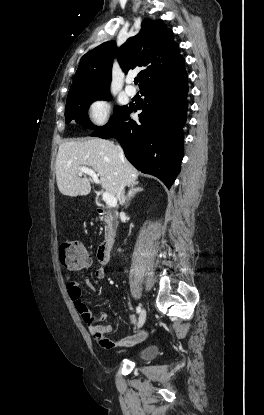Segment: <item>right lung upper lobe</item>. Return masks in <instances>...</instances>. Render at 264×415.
Instances as JSON below:
<instances>
[{
    "label": "right lung upper lobe",
    "instance_id": "1",
    "mask_svg": "<svg viewBox=\"0 0 264 415\" xmlns=\"http://www.w3.org/2000/svg\"><path fill=\"white\" fill-rule=\"evenodd\" d=\"M114 57H118L124 72L142 69L138 73L140 89L185 71V59L179 53V44L173 40L172 30L166 28L162 20L145 19L140 32L129 38L119 50L114 41H108L81 58L68 98L109 92Z\"/></svg>",
    "mask_w": 264,
    "mask_h": 415
}]
</instances>
